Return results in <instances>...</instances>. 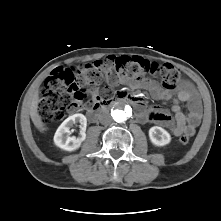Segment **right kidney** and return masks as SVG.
Masks as SVG:
<instances>
[{
  "instance_id": "right-kidney-1",
  "label": "right kidney",
  "mask_w": 221,
  "mask_h": 221,
  "mask_svg": "<svg viewBox=\"0 0 221 221\" xmlns=\"http://www.w3.org/2000/svg\"><path fill=\"white\" fill-rule=\"evenodd\" d=\"M76 123H80V135L78 137L69 136L71 127H73V125ZM86 126L87 119L83 114H74L72 116H69L58 127L54 135L55 145L66 151L76 150L86 139Z\"/></svg>"
}]
</instances>
